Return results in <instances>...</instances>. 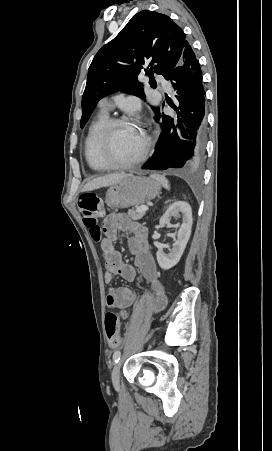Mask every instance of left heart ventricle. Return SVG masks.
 <instances>
[{
    "label": "left heart ventricle",
    "instance_id": "b2bd125f",
    "mask_svg": "<svg viewBox=\"0 0 272 451\" xmlns=\"http://www.w3.org/2000/svg\"><path fill=\"white\" fill-rule=\"evenodd\" d=\"M143 138V133L136 125L118 124L113 127L111 133L112 155L114 162L127 160L133 148Z\"/></svg>",
    "mask_w": 272,
    "mask_h": 451
}]
</instances>
